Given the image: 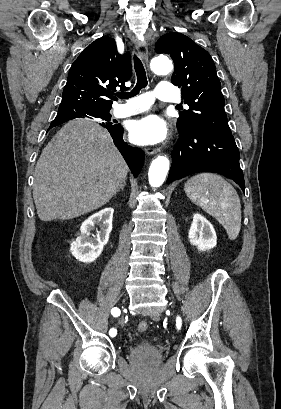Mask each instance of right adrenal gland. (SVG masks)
<instances>
[{
  "mask_svg": "<svg viewBox=\"0 0 281 409\" xmlns=\"http://www.w3.org/2000/svg\"><path fill=\"white\" fill-rule=\"evenodd\" d=\"M125 184H126V180H123V182H121L119 188H117L116 192H118V190H124Z\"/></svg>",
  "mask_w": 281,
  "mask_h": 409,
  "instance_id": "2a0ac1e0",
  "label": "right adrenal gland"
}]
</instances>
